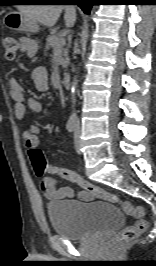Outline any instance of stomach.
Masks as SVG:
<instances>
[{"label":"stomach","instance_id":"1","mask_svg":"<svg viewBox=\"0 0 156 266\" xmlns=\"http://www.w3.org/2000/svg\"><path fill=\"white\" fill-rule=\"evenodd\" d=\"M6 24L18 31L37 32V23L21 12H11L5 19Z\"/></svg>","mask_w":156,"mask_h":266}]
</instances>
